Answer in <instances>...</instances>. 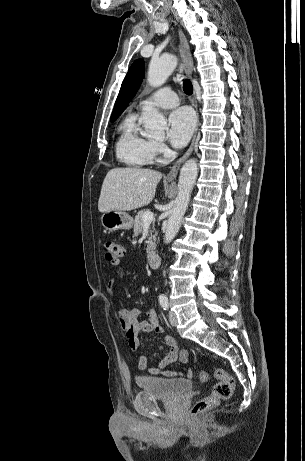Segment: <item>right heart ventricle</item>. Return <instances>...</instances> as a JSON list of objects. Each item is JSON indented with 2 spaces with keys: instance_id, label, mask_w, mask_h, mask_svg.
<instances>
[{
  "instance_id": "right-heart-ventricle-1",
  "label": "right heart ventricle",
  "mask_w": 305,
  "mask_h": 461,
  "mask_svg": "<svg viewBox=\"0 0 305 461\" xmlns=\"http://www.w3.org/2000/svg\"><path fill=\"white\" fill-rule=\"evenodd\" d=\"M116 155L130 167H142L154 161V141L140 128L134 113L127 115L119 127Z\"/></svg>"
}]
</instances>
